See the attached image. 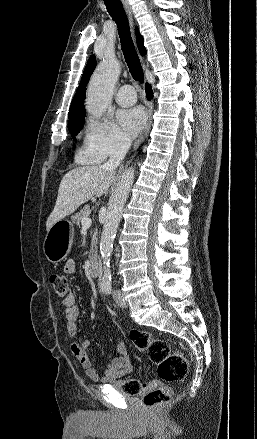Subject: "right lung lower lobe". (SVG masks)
I'll use <instances>...</instances> for the list:
<instances>
[{
  "instance_id": "obj_1",
  "label": "right lung lower lobe",
  "mask_w": 257,
  "mask_h": 439,
  "mask_svg": "<svg viewBox=\"0 0 257 439\" xmlns=\"http://www.w3.org/2000/svg\"><path fill=\"white\" fill-rule=\"evenodd\" d=\"M145 90H146V96L148 100H151V98L153 97V92H152V88L149 84L145 85Z\"/></svg>"
}]
</instances>
